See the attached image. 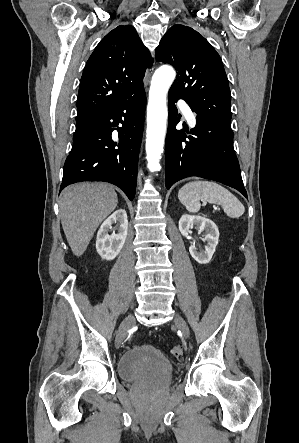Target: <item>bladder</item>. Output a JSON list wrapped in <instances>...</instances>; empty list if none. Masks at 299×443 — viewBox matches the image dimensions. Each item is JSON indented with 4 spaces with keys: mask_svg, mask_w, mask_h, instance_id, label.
Masks as SVG:
<instances>
[{
    "mask_svg": "<svg viewBox=\"0 0 299 443\" xmlns=\"http://www.w3.org/2000/svg\"><path fill=\"white\" fill-rule=\"evenodd\" d=\"M118 374L128 382L162 383L170 380L173 366L166 356L151 345H136L118 361Z\"/></svg>",
    "mask_w": 299,
    "mask_h": 443,
    "instance_id": "31cf9c89",
    "label": "bladder"
}]
</instances>
